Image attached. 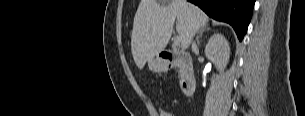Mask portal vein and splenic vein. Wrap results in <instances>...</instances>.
<instances>
[{
	"mask_svg": "<svg viewBox=\"0 0 305 116\" xmlns=\"http://www.w3.org/2000/svg\"><path fill=\"white\" fill-rule=\"evenodd\" d=\"M181 43V38L180 36L174 37V45L178 46Z\"/></svg>",
	"mask_w": 305,
	"mask_h": 116,
	"instance_id": "portal-vein-and-splenic-vein-1",
	"label": "portal vein and splenic vein"
}]
</instances>
